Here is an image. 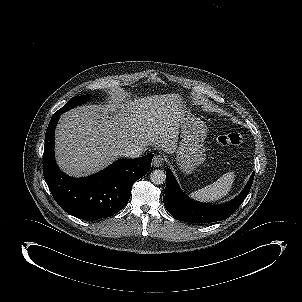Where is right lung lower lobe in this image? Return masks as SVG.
I'll return each mask as SVG.
<instances>
[{
    "label": "right lung lower lobe",
    "instance_id": "right-lung-lower-lobe-1",
    "mask_svg": "<svg viewBox=\"0 0 302 302\" xmlns=\"http://www.w3.org/2000/svg\"><path fill=\"white\" fill-rule=\"evenodd\" d=\"M60 115L56 112L50 120L43 154L44 178L55 201L67 213L87 221L114 215L128 203L133 184L150 170L153 155L119 160L89 177H69L59 170L54 157Z\"/></svg>",
    "mask_w": 302,
    "mask_h": 302
}]
</instances>
